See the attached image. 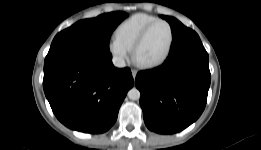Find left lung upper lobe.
<instances>
[{
    "label": "left lung upper lobe",
    "instance_id": "obj_1",
    "mask_svg": "<svg viewBox=\"0 0 261 150\" xmlns=\"http://www.w3.org/2000/svg\"><path fill=\"white\" fill-rule=\"evenodd\" d=\"M161 17L169 22L173 37H175L177 34H179L181 31L187 28L181 22H179L177 19L173 17L164 16V15H162Z\"/></svg>",
    "mask_w": 261,
    "mask_h": 150
}]
</instances>
